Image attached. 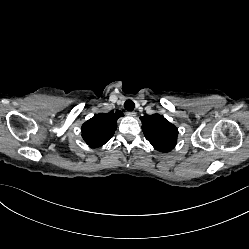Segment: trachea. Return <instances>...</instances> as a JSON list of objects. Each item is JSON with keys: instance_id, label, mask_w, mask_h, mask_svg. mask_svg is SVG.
<instances>
[{"instance_id": "3493384b", "label": "trachea", "mask_w": 249, "mask_h": 249, "mask_svg": "<svg viewBox=\"0 0 249 249\" xmlns=\"http://www.w3.org/2000/svg\"><path fill=\"white\" fill-rule=\"evenodd\" d=\"M134 107H135V104L132 100H127L125 103H124V108L128 111H133L134 110Z\"/></svg>"}]
</instances>
